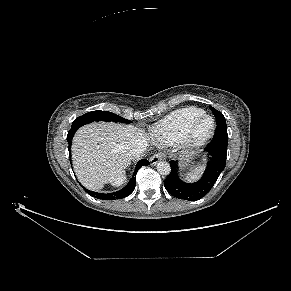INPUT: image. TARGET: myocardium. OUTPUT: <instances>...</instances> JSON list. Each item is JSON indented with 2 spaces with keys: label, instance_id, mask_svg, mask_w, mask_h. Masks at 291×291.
Wrapping results in <instances>:
<instances>
[{
  "label": "myocardium",
  "instance_id": "obj_1",
  "mask_svg": "<svg viewBox=\"0 0 291 291\" xmlns=\"http://www.w3.org/2000/svg\"><path fill=\"white\" fill-rule=\"evenodd\" d=\"M206 120H209L211 122V125L207 131L201 134L199 133V128L201 124ZM215 129V119L210 115L204 114L192 123V125L190 126L184 137L180 140V142L182 146L188 150L199 148L206 144L212 138Z\"/></svg>",
  "mask_w": 291,
  "mask_h": 291
}]
</instances>
